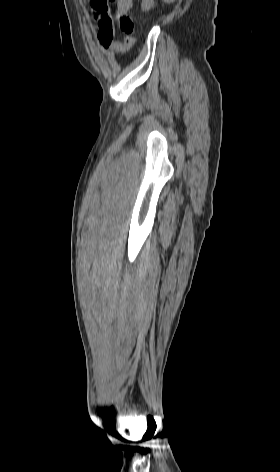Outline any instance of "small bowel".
<instances>
[{"label":"small bowel","instance_id":"obj_1","mask_svg":"<svg viewBox=\"0 0 280 472\" xmlns=\"http://www.w3.org/2000/svg\"><path fill=\"white\" fill-rule=\"evenodd\" d=\"M132 7V0H118L117 12L120 15H128ZM114 26L112 21L105 26L98 24V41L99 44L106 50L115 53H122L129 47L130 38L124 37L123 42L114 39Z\"/></svg>","mask_w":280,"mask_h":472}]
</instances>
